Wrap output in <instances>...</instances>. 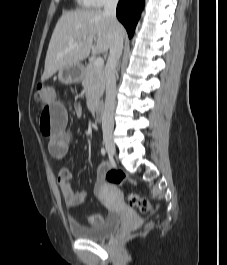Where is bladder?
I'll return each instance as SVG.
<instances>
[{"label":"bladder","instance_id":"bladder-1","mask_svg":"<svg viewBox=\"0 0 227 265\" xmlns=\"http://www.w3.org/2000/svg\"><path fill=\"white\" fill-rule=\"evenodd\" d=\"M112 188L116 190V187L113 186ZM120 224V215L118 213H110L97 226L87 227L77 222H70L69 230L74 238L100 241L113 234L119 228Z\"/></svg>","mask_w":227,"mask_h":265}]
</instances>
